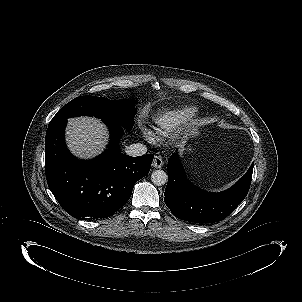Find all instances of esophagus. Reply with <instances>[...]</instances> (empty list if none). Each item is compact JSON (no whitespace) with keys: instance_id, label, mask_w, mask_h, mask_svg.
<instances>
[{"instance_id":"1","label":"esophagus","mask_w":302,"mask_h":302,"mask_svg":"<svg viewBox=\"0 0 302 302\" xmlns=\"http://www.w3.org/2000/svg\"><path fill=\"white\" fill-rule=\"evenodd\" d=\"M152 165L154 168H162L164 165L163 158L161 156H155Z\"/></svg>"}]
</instances>
